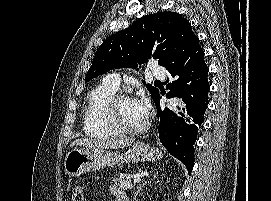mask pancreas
I'll return each mask as SVG.
<instances>
[{
    "label": "pancreas",
    "instance_id": "cf45deb5",
    "mask_svg": "<svg viewBox=\"0 0 271 201\" xmlns=\"http://www.w3.org/2000/svg\"><path fill=\"white\" fill-rule=\"evenodd\" d=\"M131 179L132 177L126 174H121L119 178L114 177L112 182L121 190H130L134 187Z\"/></svg>",
    "mask_w": 271,
    "mask_h": 201
}]
</instances>
